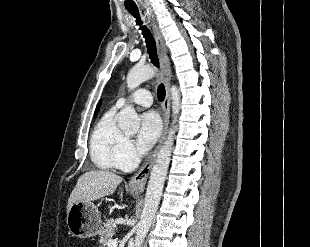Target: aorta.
<instances>
[{
  "label": "aorta",
  "mask_w": 310,
  "mask_h": 247,
  "mask_svg": "<svg viewBox=\"0 0 310 247\" xmlns=\"http://www.w3.org/2000/svg\"><path fill=\"white\" fill-rule=\"evenodd\" d=\"M156 71L151 66H134L127 75V87L134 90L141 83L153 78ZM172 99L173 122L175 124L177 115L180 111V93L176 86L170 89ZM140 121L138 115L131 105H126L118 115V127L130 133H136L139 129ZM176 130L170 128L165 142L159 150L155 163L153 165L147 190L144 199V207L141 213L140 221L136 226L134 247H142L143 241L150 229L153 218L155 217L160 198L162 195L164 182L166 179L168 167L170 164L171 153L174 145Z\"/></svg>",
  "instance_id": "1"
}]
</instances>
